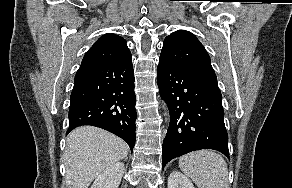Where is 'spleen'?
<instances>
[{
	"label": "spleen",
	"instance_id": "1",
	"mask_svg": "<svg viewBox=\"0 0 292 188\" xmlns=\"http://www.w3.org/2000/svg\"><path fill=\"white\" fill-rule=\"evenodd\" d=\"M179 168L198 188H229L223 157L211 150L191 152L179 158Z\"/></svg>",
	"mask_w": 292,
	"mask_h": 188
}]
</instances>
